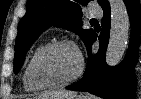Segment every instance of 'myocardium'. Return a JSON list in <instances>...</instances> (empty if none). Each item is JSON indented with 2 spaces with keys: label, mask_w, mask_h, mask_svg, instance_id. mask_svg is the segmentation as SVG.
Masks as SVG:
<instances>
[{
  "label": "myocardium",
  "mask_w": 141,
  "mask_h": 99,
  "mask_svg": "<svg viewBox=\"0 0 141 99\" xmlns=\"http://www.w3.org/2000/svg\"><path fill=\"white\" fill-rule=\"evenodd\" d=\"M71 47L73 49H75V51L78 54V58H79V67L78 70L76 71V73L71 76L70 78L63 80V81H58V82H47V81H42L40 80L35 73V67L37 62L40 60V58L42 56H44L47 52L58 48V47ZM84 72V60L83 57L80 53V51L78 50L77 46L69 40H58V41H54L51 43H48L46 45H44L32 58L30 65H29V70H28V75L29 78L31 80V82L38 86V87H42V88H58V87H64L67 86L73 82H75L76 80H78L82 74Z\"/></svg>",
  "instance_id": "obj_1"
}]
</instances>
